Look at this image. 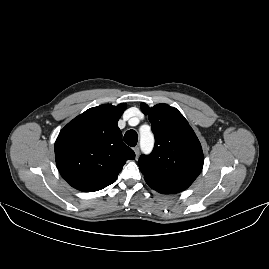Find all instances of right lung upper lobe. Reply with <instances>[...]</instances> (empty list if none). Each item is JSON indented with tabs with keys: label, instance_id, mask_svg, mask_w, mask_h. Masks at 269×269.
Segmentation results:
<instances>
[{
	"label": "right lung upper lobe",
	"instance_id": "1",
	"mask_svg": "<svg viewBox=\"0 0 269 269\" xmlns=\"http://www.w3.org/2000/svg\"><path fill=\"white\" fill-rule=\"evenodd\" d=\"M125 109L124 103L90 108L59 133L55 142L57 168L75 189H103L115 182L127 160L135 159L117 126Z\"/></svg>",
	"mask_w": 269,
	"mask_h": 269
}]
</instances>
